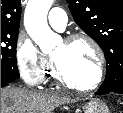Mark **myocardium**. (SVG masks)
<instances>
[{
    "mask_svg": "<svg viewBox=\"0 0 123 113\" xmlns=\"http://www.w3.org/2000/svg\"><path fill=\"white\" fill-rule=\"evenodd\" d=\"M76 41H86L93 48V50L96 54V57H97L96 77L94 78V80L92 82H90L89 84H87L85 86L79 85V84L71 81L66 76V74L64 73V71H63L62 67L60 66V64L58 63V61L54 57H52L54 76H55V79L59 83L65 85L69 88L75 89L80 92H89V91L96 89L101 84V82L104 78L105 64H106L105 54H104V51H103L102 47L100 46V44L89 34L75 33V34H72L64 39V43L66 45H70Z\"/></svg>",
    "mask_w": 123,
    "mask_h": 113,
    "instance_id": "obj_1",
    "label": "myocardium"
}]
</instances>
